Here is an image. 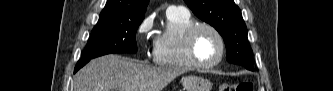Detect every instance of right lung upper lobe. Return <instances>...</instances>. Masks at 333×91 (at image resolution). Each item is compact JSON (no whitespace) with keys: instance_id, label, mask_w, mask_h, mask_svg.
I'll return each instance as SVG.
<instances>
[{"instance_id":"obj_1","label":"right lung upper lobe","mask_w":333,"mask_h":91,"mask_svg":"<svg viewBox=\"0 0 333 91\" xmlns=\"http://www.w3.org/2000/svg\"><path fill=\"white\" fill-rule=\"evenodd\" d=\"M149 0H107L99 18L144 17Z\"/></svg>"}]
</instances>
